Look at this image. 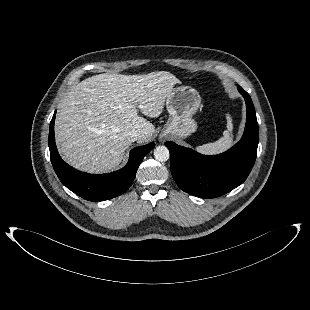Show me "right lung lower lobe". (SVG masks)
<instances>
[{"label": "right lung lower lobe", "mask_w": 310, "mask_h": 310, "mask_svg": "<svg viewBox=\"0 0 310 310\" xmlns=\"http://www.w3.org/2000/svg\"><path fill=\"white\" fill-rule=\"evenodd\" d=\"M55 114L50 122L48 145L51 163L62 184L89 201L108 200L123 194L132 184L142 159L155 144L132 149L127 165L118 171L101 175L83 173L65 163L58 154L54 137Z\"/></svg>", "instance_id": "1"}]
</instances>
